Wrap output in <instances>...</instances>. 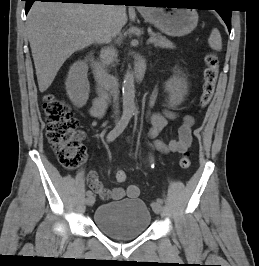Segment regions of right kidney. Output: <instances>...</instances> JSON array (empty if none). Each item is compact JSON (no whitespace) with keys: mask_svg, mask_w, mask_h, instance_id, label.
I'll return each instance as SVG.
<instances>
[{"mask_svg":"<svg viewBox=\"0 0 259 266\" xmlns=\"http://www.w3.org/2000/svg\"><path fill=\"white\" fill-rule=\"evenodd\" d=\"M87 72L88 66L79 60L70 67L65 82L67 95L78 108L83 107L89 98L90 85Z\"/></svg>","mask_w":259,"mask_h":266,"instance_id":"1","label":"right kidney"}]
</instances>
